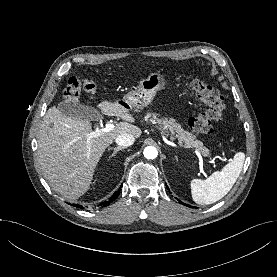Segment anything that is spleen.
Wrapping results in <instances>:
<instances>
[{
  "label": "spleen",
  "mask_w": 277,
  "mask_h": 277,
  "mask_svg": "<svg viewBox=\"0 0 277 277\" xmlns=\"http://www.w3.org/2000/svg\"><path fill=\"white\" fill-rule=\"evenodd\" d=\"M244 160L245 154L238 152L221 171L212 173L206 180H192L190 185L194 202L200 205H207L223 198L239 177Z\"/></svg>",
  "instance_id": "1"
}]
</instances>
